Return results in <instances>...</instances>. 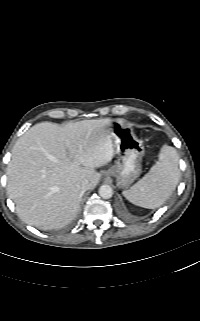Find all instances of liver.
I'll return each instance as SVG.
<instances>
[{"label": "liver", "instance_id": "6515ba94", "mask_svg": "<svg viewBox=\"0 0 200 321\" xmlns=\"http://www.w3.org/2000/svg\"><path fill=\"white\" fill-rule=\"evenodd\" d=\"M111 120H84L64 126L42 122L15 143L7 168V191L19 217L42 230L74 220L83 196L76 184L100 180L95 170L114 157Z\"/></svg>", "mask_w": 200, "mask_h": 321}]
</instances>
